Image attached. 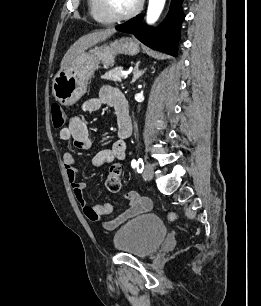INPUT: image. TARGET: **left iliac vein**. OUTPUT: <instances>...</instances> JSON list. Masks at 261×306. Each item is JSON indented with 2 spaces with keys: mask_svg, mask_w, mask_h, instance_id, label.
<instances>
[{
  "mask_svg": "<svg viewBox=\"0 0 261 306\" xmlns=\"http://www.w3.org/2000/svg\"><path fill=\"white\" fill-rule=\"evenodd\" d=\"M144 178L148 181L152 180L153 175H154V168L152 166V164L150 163H146L145 167H144Z\"/></svg>",
  "mask_w": 261,
  "mask_h": 306,
  "instance_id": "left-iliac-vein-1",
  "label": "left iliac vein"
}]
</instances>
